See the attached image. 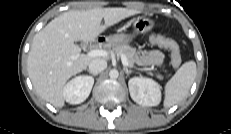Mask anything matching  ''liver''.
<instances>
[{"label":"liver","instance_id":"6515ba94","mask_svg":"<svg viewBox=\"0 0 231 134\" xmlns=\"http://www.w3.org/2000/svg\"><path fill=\"white\" fill-rule=\"evenodd\" d=\"M137 13L127 8L71 10L49 22L34 36L27 59L28 74L37 94L55 107H63L65 83L92 61L75 42L93 41L108 27Z\"/></svg>","mask_w":231,"mask_h":134}]
</instances>
